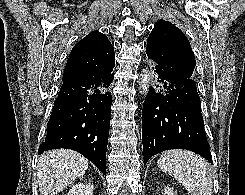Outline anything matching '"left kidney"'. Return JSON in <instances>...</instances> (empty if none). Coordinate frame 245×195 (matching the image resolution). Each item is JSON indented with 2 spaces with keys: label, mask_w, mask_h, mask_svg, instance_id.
Wrapping results in <instances>:
<instances>
[{
  "label": "left kidney",
  "mask_w": 245,
  "mask_h": 195,
  "mask_svg": "<svg viewBox=\"0 0 245 195\" xmlns=\"http://www.w3.org/2000/svg\"><path fill=\"white\" fill-rule=\"evenodd\" d=\"M163 195H177V194L173 192L172 188L165 187Z\"/></svg>",
  "instance_id": "5707ae66"
}]
</instances>
